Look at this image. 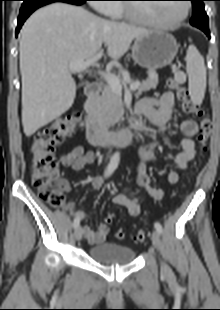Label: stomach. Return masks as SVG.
Here are the masks:
<instances>
[{"label":"stomach","instance_id":"stomach-1","mask_svg":"<svg viewBox=\"0 0 220 310\" xmlns=\"http://www.w3.org/2000/svg\"><path fill=\"white\" fill-rule=\"evenodd\" d=\"M179 45L175 38L160 30L136 37L132 47L135 63L149 70L161 69L172 63Z\"/></svg>","mask_w":220,"mask_h":310}]
</instances>
